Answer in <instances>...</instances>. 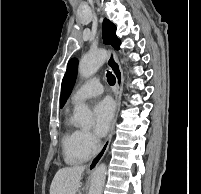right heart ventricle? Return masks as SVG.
Wrapping results in <instances>:
<instances>
[{"instance_id":"1","label":"right heart ventricle","mask_w":201,"mask_h":194,"mask_svg":"<svg viewBox=\"0 0 201 194\" xmlns=\"http://www.w3.org/2000/svg\"><path fill=\"white\" fill-rule=\"evenodd\" d=\"M65 132L62 137V145L65 160L70 164H77L86 161L92 152L83 149L79 143L80 130L77 129L67 118Z\"/></svg>"}]
</instances>
